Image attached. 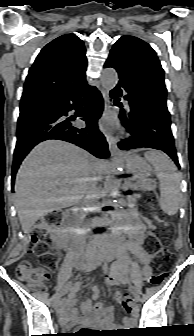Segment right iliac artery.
Listing matches in <instances>:
<instances>
[{
	"mask_svg": "<svg viewBox=\"0 0 194 336\" xmlns=\"http://www.w3.org/2000/svg\"><path fill=\"white\" fill-rule=\"evenodd\" d=\"M72 285H73V283H72V282H69V283L66 285V287H65V291L71 290ZM75 292H76V289H74L73 291H71V292L68 294L67 299L72 298V297L74 296V293H75ZM65 300H66V298H64L62 302H59V305H62L63 302H64Z\"/></svg>",
	"mask_w": 194,
	"mask_h": 336,
	"instance_id": "82829eb1",
	"label": "right iliac artery"
}]
</instances>
